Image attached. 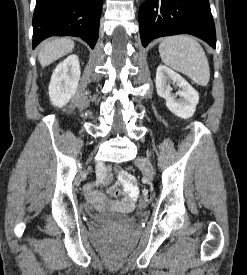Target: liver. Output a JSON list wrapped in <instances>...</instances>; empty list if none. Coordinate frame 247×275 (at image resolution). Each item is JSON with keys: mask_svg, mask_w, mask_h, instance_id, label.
I'll return each mask as SVG.
<instances>
[{"mask_svg": "<svg viewBox=\"0 0 247 275\" xmlns=\"http://www.w3.org/2000/svg\"><path fill=\"white\" fill-rule=\"evenodd\" d=\"M74 41L69 38H57L47 41L40 47L38 60L46 67L74 49Z\"/></svg>", "mask_w": 247, "mask_h": 275, "instance_id": "obj_1", "label": "liver"}]
</instances>
